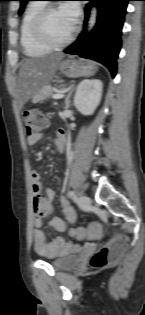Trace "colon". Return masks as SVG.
Masks as SVG:
<instances>
[{"mask_svg": "<svg viewBox=\"0 0 145 315\" xmlns=\"http://www.w3.org/2000/svg\"><path fill=\"white\" fill-rule=\"evenodd\" d=\"M23 121L25 125V131L28 136L38 133L42 128L46 126L45 117L35 111L26 110L23 112ZM101 228L96 222L89 224L86 228H77L70 231V234L77 238H96L100 235ZM127 244V238L121 235L116 236L113 240L98 250L91 258V265L93 267H104L115 263L122 255L125 246Z\"/></svg>", "mask_w": 145, "mask_h": 315, "instance_id": "colon-1", "label": "colon"}]
</instances>
